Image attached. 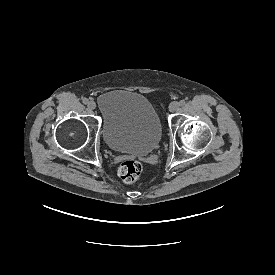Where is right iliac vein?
I'll return each mask as SVG.
<instances>
[{
	"instance_id": "1",
	"label": "right iliac vein",
	"mask_w": 275,
	"mask_h": 275,
	"mask_svg": "<svg viewBox=\"0 0 275 275\" xmlns=\"http://www.w3.org/2000/svg\"><path fill=\"white\" fill-rule=\"evenodd\" d=\"M88 107L91 109V110H94L96 108V103L94 101H90L88 103Z\"/></svg>"
}]
</instances>
